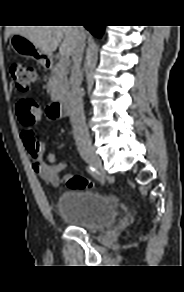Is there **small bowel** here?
I'll return each mask as SVG.
<instances>
[{"label": "small bowel", "mask_w": 184, "mask_h": 292, "mask_svg": "<svg viewBox=\"0 0 184 292\" xmlns=\"http://www.w3.org/2000/svg\"><path fill=\"white\" fill-rule=\"evenodd\" d=\"M21 142L27 153L33 171L51 186L61 183L60 174L65 170L66 164L58 162L60 154L51 152L44 161L45 145L37 140L33 129L25 127L20 133Z\"/></svg>", "instance_id": "1"}]
</instances>
